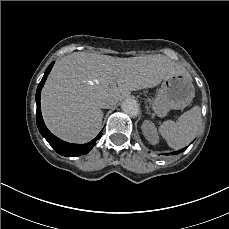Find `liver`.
Segmentation results:
<instances>
[{
	"mask_svg": "<svg viewBox=\"0 0 229 229\" xmlns=\"http://www.w3.org/2000/svg\"><path fill=\"white\" fill-rule=\"evenodd\" d=\"M190 73L164 55L132 58L76 52L58 60L42 93V112L58 137L84 143L101 129V103L111 107L132 91L153 89Z\"/></svg>",
	"mask_w": 229,
	"mask_h": 229,
	"instance_id": "obj_1",
	"label": "liver"
}]
</instances>
